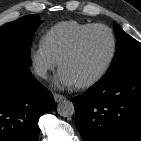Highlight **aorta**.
I'll return each instance as SVG.
<instances>
[{
  "instance_id": "obj_1",
  "label": "aorta",
  "mask_w": 141,
  "mask_h": 141,
  "mask_svg": "<svg viewBox=\"0 0 141 141\" xmlns=\"http://www.w3.org/2000/svg\"><path fill=\"white\" fill-rule=\"evenodd\" d=\"M57 112L62 117H70L75 113L74 105L69 100H63L58 104Z\"/></svg>"
}]
</instances>
